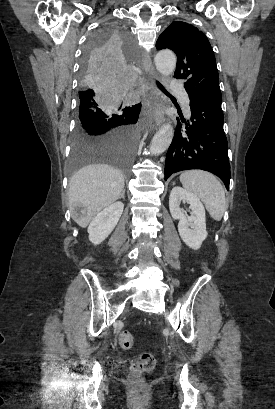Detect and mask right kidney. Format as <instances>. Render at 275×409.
<instances>
[{
	"label": "right kidney",
	"mask_w": 275,
	"mask_h": 409,
	"mask_svg": "<svg viewBox=\"0 0 275 409\" xmlns=\"http://www.w3.org/2000/svg\"><path fill=\"white\" fill-rule=\"evenodd\" d=\"M123 209V202L117 200V202H113V205L106 207L101 213H98L97 217L91 221L88 227V233L89 241H91L93 245H100L102 241L107 239L108 235L115 229L123 213Z\"/></svg>",
	"instance_id": "right-kidney-1"
}]
</instances>
